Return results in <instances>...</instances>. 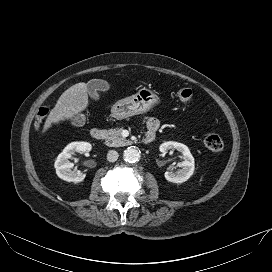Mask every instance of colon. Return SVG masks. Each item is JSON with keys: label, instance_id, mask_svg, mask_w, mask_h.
I'll return each instance as SVG.
<instances>
[{"label": "colon", "instance_id": "obj_1", "mask_svg": "<svg viewBox=\"0 0 272 272\" xmlns=\"http://www.w3.org/2000/svg\"><path fill=\"white\" fill-rule=\"evenodd\" d=\"M177 99L183 103H190L193 101V91L189 88L180 89L177 94ZM49 110L47 108H41L38 116L36 118V127L40 128L41 124L43 123L44 119L47 117ZM85 120V115L83 113H74L69 115L66 118V121L71 125H81ZM205 146L214 152L221 151L223 148V141L222 139L216 134H209L204 139Z\"/></svg>", "mask_w": 272, "mask_h": 272}]
</instances>
